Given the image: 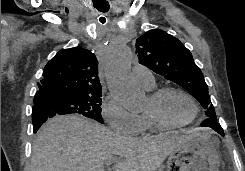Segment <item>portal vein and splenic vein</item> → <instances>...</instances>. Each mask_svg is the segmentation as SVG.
Masks as SVG:
<instances>
[{
    "instance_id": "obj_1",
    "label": "portal vein and splenic vein",
    "mask_w": 245,
    "mask_h": 171,
    "mask_svg": "<svg viewBox=\"0 0 245 171\" xmlns=\"http://www.w3.org/2000/svg\"><path fill=\"white\" fill-rule=\"evenodd\" d=\"M116 162H117L116 159H111V160H108V161L106 162V164L109 166V165H112V164H114V163H116Z\"/></svg>"
}]
</instances>
